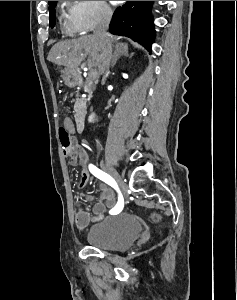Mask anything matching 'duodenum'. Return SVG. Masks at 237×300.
<instances>
[{"mask_svg":"<svg viewBox=\"0 0 237 300\" xmlns=\"http://www.w3.org/2000/svg\"><path fill=\"white\" fill-rule=\"evenodd\" d=\"M73 81L76 83L78 81L77 77L72 75ZM87 120V109L84 104H80L75 115V127L78 132H83L85 130Z\"/></svg>","mask_w":237,"mask_h":300,"instance_id":"1","label":"duodenum"}]
</instances>
